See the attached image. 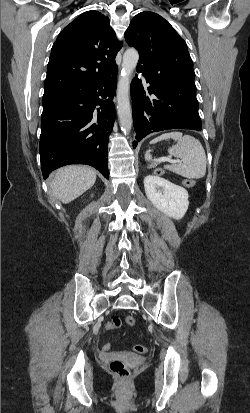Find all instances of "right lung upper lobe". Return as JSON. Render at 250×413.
Listing matches in <instances>:
<instances>
[{"instance_id":"cb5924a9","label":"right lung upper lobe","mask_w":250,"mask_h":413,"mask_svg":"<svg viewBox=\"0 0 250 413\" xmlns=\"http://www.w3.org/2000/svg\"><path fill=\"white\" fill-rule=\"evenodd\" d=\"M109 18L98 11L78 16L53 44L44 95L86 88L117 69L115 57L122 47Z\"/></svg>"}]
</instances>
